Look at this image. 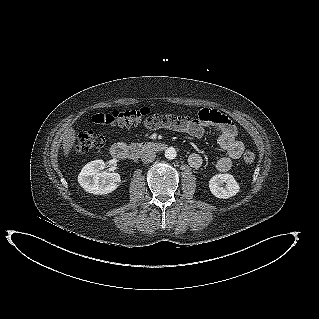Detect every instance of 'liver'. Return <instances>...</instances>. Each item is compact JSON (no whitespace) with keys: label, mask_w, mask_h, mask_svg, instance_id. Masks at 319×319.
I'll return each mask as SVG.
<instances>
[{"label":"liver","mask_w":319,"mask_h":319,"mask_svg":"<svg viewBox=\"0 0 319 319\" xmlns=\"http://www.w3.org/2000/svg\"><path fill=\"white\" fill-rule=\"evenodd\" d=\"M76 140V132L73 128L67 129L63 134V152L67 157Z\"/></svg>","instance_id":"liver-1"}]
</instances>
